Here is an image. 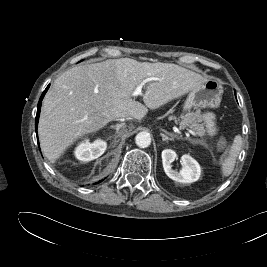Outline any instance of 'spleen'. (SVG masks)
Returning <instances> with one entry per match:
<instances>
[{
  "label": "spleen",
  "instance_id": "spleen-1",
  "mask_svg": "<svg viewBox=\"0 0 267 267\" xmlns=\"http://www.w3.org/2000/svg\"><path fill=\"white\" fill-rule=\"evenodd\" d=\"M242 137L236 135L233 140V144L228 152V156L224 159L221 167L223 177H228L232 174L237 156L241 150Z\"/></svg>",
  "mask_w": 267,
  "mask_h": 267
}]
</instances>
